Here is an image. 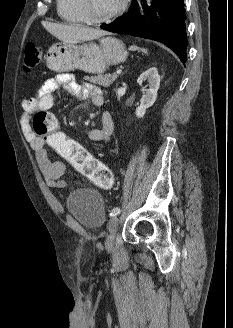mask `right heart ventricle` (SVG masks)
Segmentation results:
<instances>
[{
	"label": "right heart ventricle",
	"instance_id": "e07e8e85",
	"mask_svg": "<svg viewBox=\"0 0 233 328\" xmlns=\"http://www.w3.org/2000/svg\"><path fill=\"white\" fill-rule=\"evenodd\" d=\"M57 13L62 20L68 23H86L76 0H57Z\"/></svg>",
	"mask_w": 233,
	"mask_h": 328
}]
</instances>
